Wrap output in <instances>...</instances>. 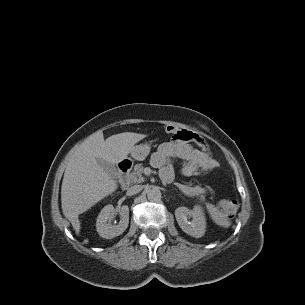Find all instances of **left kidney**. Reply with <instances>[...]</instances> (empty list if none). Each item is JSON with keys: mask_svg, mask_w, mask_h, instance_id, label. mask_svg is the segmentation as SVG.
Wrapping results in <instances>:
<instances>
[{"mask_svg": "<svg viewBox=\"0 0 305 305\" xmlns=\"http://www.w3.org/2000/svg\"><path fill=\"white\" fill-rule=\"evenodd\" d=\"M175 217L180 228L188 235L200 238L206 229L204 210L200 205L194 206L193 210L187 207H179L175 210ZM188 218H192L188 221Z\"/></svg>", "mask_w": 305, "mask_h": 305, "instance_id": "left-kidney-1", "label": "left kidney"}]
</instances>
